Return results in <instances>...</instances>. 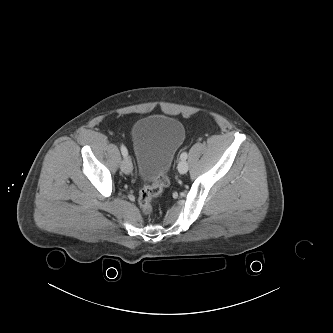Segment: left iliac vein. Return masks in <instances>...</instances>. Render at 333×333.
Returning a JSON list of instances; mask_svg holds the SVG:
<instances>
[{
	"instance_id": "left-iliac-vein-1",
	"label": "left iliac vein",
	"mask_w": 333,
	"mask_h": 333,
	"mask_svg": "<svg viewBox=\"0 0 333 333\" xmlns=\"http://www.w3.org/2000/svg\"><path fill=\"white\" fill-rule=\"evenodd\" d=\"M189 169L188 163L185 160H182L178 164V171L181 174H185Z\"/></svg>"
}]
</instances>
